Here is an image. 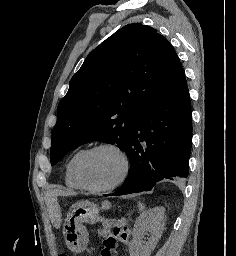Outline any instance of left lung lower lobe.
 Instances as JSON below:
<instances>
[{"instance_id": "1", "label": "left lung lower lobe", "mask_w": 236, "mask_h": 256, "mask_svg": "<svg viewBox=\"0 0 236 256\" xmlns=\"http://www.w3.org/2000/svg\"><path fill=\"white\" fill-rule=\"evenodd\" d=\"M191 141L192 115L184 73L135 120L126 150L130 172L124 184L111 195L150 191L163 179L185 180Z\"/></svg>"}]
</instances>
